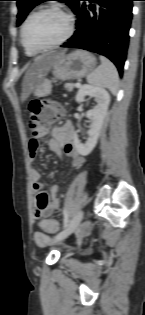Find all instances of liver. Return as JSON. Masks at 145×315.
Masks as SVG:
<instances>
[{
    "label": "liver",
    "instance_id": "1",
    "mask_svg": "<svg viewBox=\"0 0 145 315\" xmlns=\"http://www.w3.org/2000/svg\"><path fill=\"white\" fill-rule=\"evenodd\" d=\"M64 53H53L36 58L25 74L22 83L21 100L25 101L42 79Z\"/></svg>",
    "mask_w": 145,
    "mask_h": 315
}]
</instances>
